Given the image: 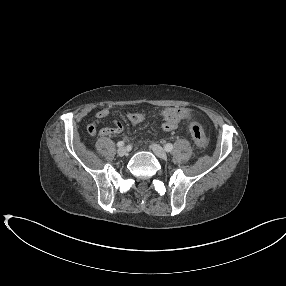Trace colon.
I'll list each match as a JSON object with an SVG mask.
<instances>
[{
    "label": "colon",
    "mask_w": 286,
    "mask_h": 286,
    "mask_svg": "<svg viewBox=\"0 0 286 286\" xmlns=\"http://www.w3.org/2000/svg\"><path fill=\"white\" fill-rule=\"evenodd\" d=\"M190 132L195 144L203 149L207 145V137L203 127L198 123H192L190 125Z\"/></svg>",
    "instance_id": "5ec220e1"
}]
</instances>
